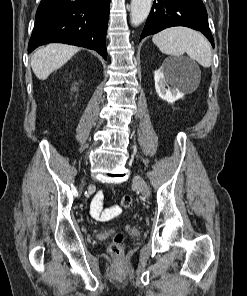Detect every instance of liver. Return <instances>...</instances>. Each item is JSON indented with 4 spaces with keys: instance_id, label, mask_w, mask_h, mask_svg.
I'll list each match as a JSON object with an SVG mask.
<instances>
[{
    "instance_id": "liver-1",
    "label": "liver",
    "mask_w": 247,
    "mask_h": 296,
    "mask_svg": "<svg viewBox=\"0 0 247 296\" xmlns=\"http://www.w3.org/2000/svg\"><path fill=\"white\" fill-rule=\"evenodd\" d=\"M80 51L79 47L61 43L48 44L39 48L31 57V67L38 79L45 80Z\"/></svg>"
}]
</instances>
